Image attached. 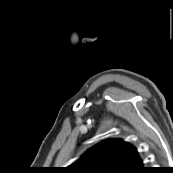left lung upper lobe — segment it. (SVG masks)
Wrapping results in <instances>:
<instances>
[{
  "mask_svg": "<svg viewBox=\"0 0 173 173\" xmlns=\"http://www.w3.org/2000/svg\"><path fill=\"white\" fill-rule=\"evenodd\" d=\"M137 150L121 139H109L89 149L68 167L69 173H142Z\"/></svg>",
  "mask_w": 173,
  "mask_h": 173,
  "instance_id": "5c2ea615",
  "label": "left lung upper lobe"
}]
</instances>
